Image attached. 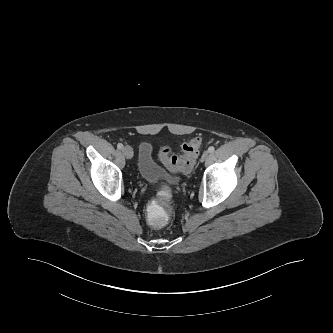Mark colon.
I'll return each instance as SVG.
<instances>
[{"label": "colon", "instance_id": "5ec220e1", "mask_svg": "<svg viewBox=\"0 0 333 333\" xmlns=\"http://www.w3.org/2000/svg\"><path fill=\"white\" fill-rule=\"evenodd\" d=\"M200 148V138L194 137L182 145L181 154H174L170 147H162L158 152V158L172 173H189L193 169ZM152 202L146 211L147 219L153 227H164L169 220L166 209L174 202L173 194L166 189L157 190L153 194Z\"/></svg>", "mask_w": 333, "mask_h": 333}]
</instances>
